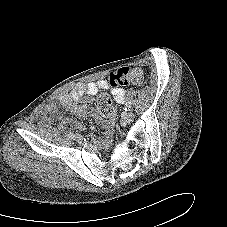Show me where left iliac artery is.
I'll return each instance as SVG.
<instances>
[{"label":"left iliac artery","instance_id":"1","mask_svg":"<svg viewBox=\"0 0 227 227\" xmlns=\"http://www.w3.org/2000/svg\"><path fill=\"white\" fill-rule=\"evenodd\" d=\"M125 105H126L125 110H130L131 109V103L130 102H126Z\"/></svg>","mask_w":227,"mask_h":227}]
</instances>
